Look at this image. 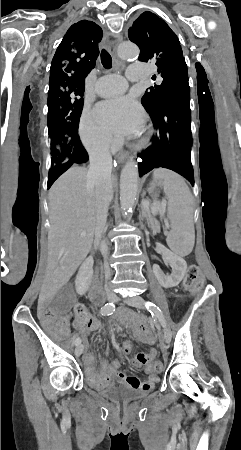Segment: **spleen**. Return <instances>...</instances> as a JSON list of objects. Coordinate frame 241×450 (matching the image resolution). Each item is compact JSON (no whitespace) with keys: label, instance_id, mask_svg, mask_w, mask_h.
Masks as SVG:
<instances>
[{"label":"spleen","instance_id":"3e777b00","mask_svg":"<svg viewBox=\"0 0 241 450\" xmlns=\"http://www.w3.org/2000/svg\"><path fill=\"white\" fill-rule=\"evenodd\" d=\"M153 180L161 182L169 200L168 218L171 230L166 242L177 256H189L194 248L195 232L192 224L193 196L183 178L171 170H155Z\"/></svg>","mask_w":241,"mask_h":450}]
</instances>
